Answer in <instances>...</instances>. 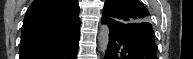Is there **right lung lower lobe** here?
Masks as SVG:
<instances>
[{
    "label": "right lung lower lobe",
    "mask_w": 193,
    "mask_h": 59,
    "mask_svg": "<svg viewBox=\"0 0 193 59\" xmlns=\"http://www.w3.org/2000/svg\"><path fill=\"white\" fill-rule=\"evenodd\" d=\"M78 43L79 36L51 53L22 56L19 59H77Z\"/></svg>",
    "instance_id": "right-lung-lower-lobe-1"
}]
</instances>
